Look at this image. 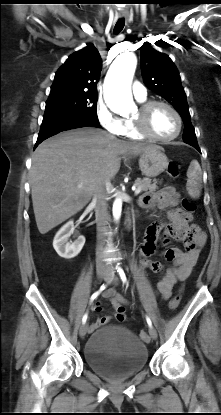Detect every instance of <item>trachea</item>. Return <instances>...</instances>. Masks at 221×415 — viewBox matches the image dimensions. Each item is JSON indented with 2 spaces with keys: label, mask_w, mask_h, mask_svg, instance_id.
<instances>
[{
  "label": "trachea",
  "mask_w": 221,
  "mask_h": 415,
  "mask_svg": "<svg viewBox=\"0 0 221 415\" xmlns=\"http://www.w3.org/2000/svg\"><path fill=\"white\" fill-rule=\"evenodd\" d=\"M123 28H124V19H123V18H121V19H119V20L117 21V23H116V25H115V27H114V33H115V34L120 33V32L123 30Z\"/></svg>",
  "instance_id": "obj_1"
}]
</instances>
